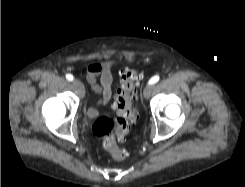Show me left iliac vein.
<instances>
[{
	"instance_id": "obj_1",
	"label": "left iliac vein",
	"mask_w": 245,
	"mask_h": 187,
	"mask_svg": "<svg viewBox=\"0 0 245 187\" xmlns=\"http://www.w3.org/2000/svg\"><path fill=\"white\" fill-rule=\"evenodd\" d=\"M151 90H152V85L145 86V88L143 90V95L145 98H148L150 96Z\"/></svg>"
}]
</instances>
